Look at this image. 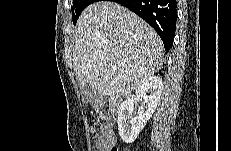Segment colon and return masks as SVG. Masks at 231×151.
<instances>
[{
    "label": "colon",
    "mask_w": 231,
    "mask_h": 151,
    "mask_svg": "<svg viewBox=\"0 0 231 151\" xmlns=\"http://www.w3.org/2000/svg\"><path fill=\"white\" fill-rule=\"evenodd\" d=\"M100 133H101L100 138L104 142H111L113 140L112 129L108 123L102 122L100 124ZM111 151H118V150L116 148H112Z\"/></svg>",
    "instance_id": "colon-1"
}]
</instances>
